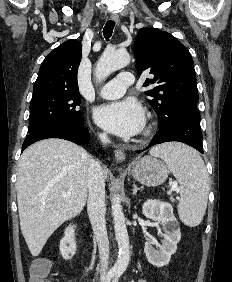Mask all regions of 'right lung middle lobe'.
Masks as SVG:
<instances>
[{
    "label": "right lung middle lobe",
    "mask_w": 232,
    "mask_h": 282,
    "mask_svg": "<svg viewBox=\"0 0 232 282\" xmlns=\"http://www.w3.org/2000/svg\"><path fill=\"white\" fill-rule=\"evenodd\" d=\"M80 103L78 91L46 90L33 92L28 133L59 122L83 124V115L78 108Z\"/></svg>",
    "instance_id": "1"
}]
</instances>
